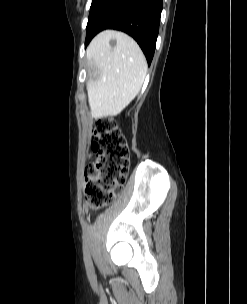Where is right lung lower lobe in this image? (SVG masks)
Instances as JSON below:
<instances>
[{
    "label": "right lung lower lobe",
    "mask_w": 247,
    "mask_h": 304,
    "mask_svg": "<svg viewBox=\"0 0 247 304\" xmlns=\"http://www.w3.org/2000/svg\"><path fill=\"white\" fill-rule=\"evenodd\" d=\"M162 0H97L90 11L85 47L104 29L132 36L150 65L159 31Z\"/></svg>",
    "instance_id": "right-lung-lower-lobe-1"
}]
</instances>
